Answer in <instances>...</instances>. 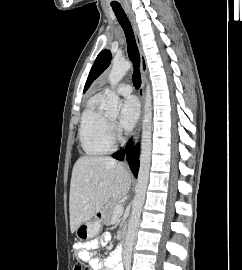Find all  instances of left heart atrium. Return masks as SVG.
<instances>
[{
	"label": "left heart atrium",
	"mask_w": 242,
	"mask_h": 270,
	"mask_svg": "<svg viewBox=\"0 0 242 270\" xmlns=\"http://www.w3.org/2000/svg\"><path fill=\"white\" fill-rule=\"evenodd\" d=\"M140 114V105L136 97H127L120 111V125L125 129H131L136 124Z\"/></svg>",
	"instance_id": "1"
}]
</instances>
